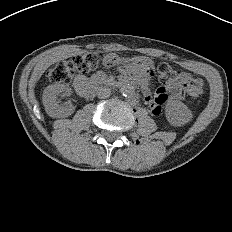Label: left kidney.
Segmentation results:
<instances>
[{"instance_id":"1","label":"left kidney","mask_w":232,"mask_h":232,"mask_svg":"<svg viewBox=\"0 0 232 232\" xmlns=\"http://www.w3.org/2000/svg\"><path fill=\"white\" fill-rule=\"evenodd\" d=\"M167 121L172 126H183L191 121V110L181 101H173L165 109Z\"/></svg>"}]
</instances>
